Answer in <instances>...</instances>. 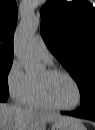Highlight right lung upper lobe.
<instances>
[{
  "instance_id": "cb5924a9",
  "label": "right lung upper lobe",
  "mask_w": 95,
  "mask_h": 130,
  "mask_svg": "<svg viewBox=\"0 0 95 130\" xmlns=\"http://www.w3.org/2000/svg\"><path fill=\"white\" fill-rule=\"evenodd\" d=\"M16 22L15 0H0V61L13 60V34Z\"/></svg>"
}]
</instances>
